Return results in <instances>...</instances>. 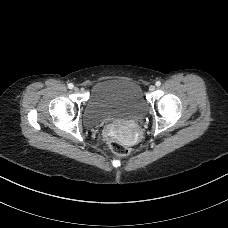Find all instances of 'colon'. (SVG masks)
Masks as SVG:
<instances>
[{
    "label": "colon",
    "instance_id": "obj_1",
    "mask_svg": "<svg viewBox=\"0 0 228 228\" xmlns=\"http://www.w3.org/2000/svg\"><path fill=\"white\" fill-rule=\"evenodd\" d=\"M108 144L111 151L118 156H127L130 153L128 146L116 136L109 137Z\"/></svg>",
    "mask_w": 228,
    "mask_h": 228
}]
</instances>
